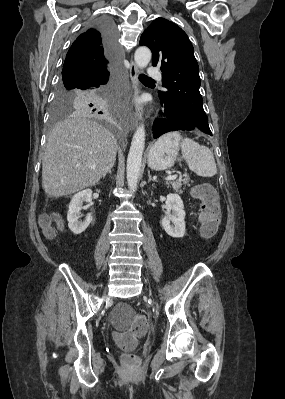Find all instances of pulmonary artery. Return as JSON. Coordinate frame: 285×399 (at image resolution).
Returning a JSON list of instances; mask_svg holds the SVG:
<instances>
[{"mask_svg": "<svg viewBox=\"0 0 285 399\" xmlns=\"http://www.w3.org/2000/svg\"><path fill=\"white\" fill-rule=\"evenodd\" d=\"M147 77H149L151 79L154 78V79L160 80L162 78V75L159 70H157L153 67H150L147 71Z\"/></svg>", "mask_w": 285, "mask_h": 399, "instance_id": "obj_1", "label": "pulmonary artery"}]
</instances>
